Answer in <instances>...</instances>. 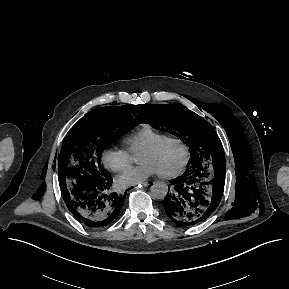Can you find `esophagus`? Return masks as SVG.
Returning a JSON list of instances; mask_svg holds the SVG:
<instances>
[{"label":"esophagus","instance_id":"esophagus-1","mask_svg":"<svg viewBox=\"0 0 289 289\" xmlns=\"http://www.w3.org/2000/svg\"><path fill=\"white\" fill-rule=\"evenodd\" d=\"M140 185H141L142 187H148V186H149V183H148V182H142Z\"/></svg>","mask_w":289,"mask_h":289}]
</instances>
